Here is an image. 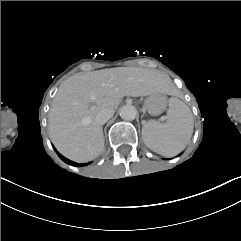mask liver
I'll use <instances>...</instances> for the list:
<instances>
[{
  "instance_id": "1",
  "label": "liver",
  "mask_w": 241,
  "mask_h": 241,
  "mask_svg": "<svg viewBox=\"0 0 241 241\" xmlns=\"http://www.w3.org/2000/svg\"><path fill=\"white\" fill-rule=\"evenodd\" d=\"M167 85L163 72L133 67L75 74L60 85L52 101L48 118L51 141L72 161H92L104 150L96 115L104 109L114 112L124 96L166 93Z\"/></svg>"
}]
</instances>
